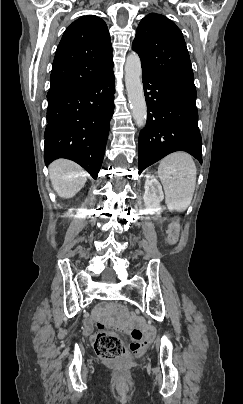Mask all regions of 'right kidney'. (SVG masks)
Returning <instances> with one entry per match:
<instances>
[{
	"mask_svg": "<svg viewBox=\"0 0 243 404\" xmlns=\"http://www.w3.org/2000/svg\"><path fill=\"white\" fill-rule=\"evenodd\" d=\"M72 210H69V214H71Z\"/></svg>",
	"mask_w": 243,
	"mask_h": 404,
	"instance_id": "ca27d5eb",
	"label": "right kidney"
}]
</instances>
